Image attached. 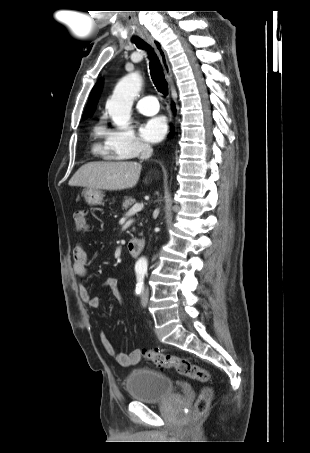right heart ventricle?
Here are the masks:
<instances>
[{
	"instance_id": "e07e8e85",
	"label": "right heart ventricle",
	"mask_w": 310,
	"mask_h": 453,
	"mask_svg": "<svg viewBox=\"0 0 310 453\" xmlns=\"http://www.w3.org/2000/svg\"><path fill=\"white\" fill-rule=\"evenodd\" d=\"M94 135H95L96 138H98L101 135V128L100 127H95ZM93 151L96 154H99V155L103 156L106 159H119L118 157H115V156L111 155L107 151L105 145H103V144H101L100 142H97V141L93 144Z\"/></svg>"
}]
</instances>
